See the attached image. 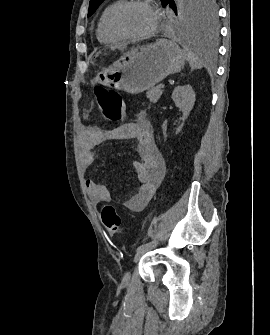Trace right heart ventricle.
Masks as SVG:
<instances>
[{
  "label": "right heart ventricle",
  "instance_id": "obj_1",
  "mask_svg": "<svg viewBox=\"0 0 270 335\" xmlns=\"http://www.w3.org/2000/svg\"><path fill=\"white\" fill-rule=\"evenodd\" d=\"M123 2L125 1L113 0L110 3H108L102 10L96 30V37L101 43L109 45L117 43L123 39L114 34L109 26V18L111 13Z\"/></svg>",
  "mask_w": 270,
  "mask_h": 335
}]
</instances>
